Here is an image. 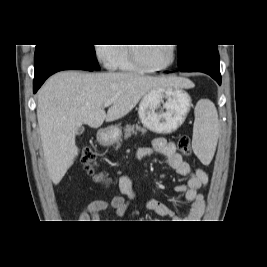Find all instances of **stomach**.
Wrapping results in <instances>:
<instances>
[{
    "mask_svg": "<svg viewBox=\"0 0 267 267\" xmlns=\"http://www.w3.org/2000/svg\"><path fill=\"white\" fill-rule=\"evenodd\" d=\"M191 107V97L180 87H160L150 90L141 100L138 108L142 124L159 134L177 130L185 121ZM118 127H111L100 133L102 145H111L120 136Z\"/></svg>",
    "mask_w": 267,
    "mask_h": 267,
    "instance_id": "0dacf381",
    "label": "stomach"
}]
</instances>
